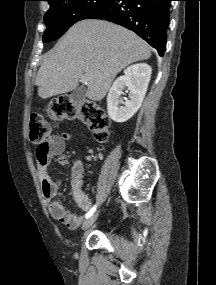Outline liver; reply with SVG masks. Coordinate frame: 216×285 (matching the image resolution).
<instances>
[{
  "mask_svg": "<svg viewBox=\"0 0 216 285\" xmlns=\"http://www.w3.org/2000/svg\"><path fill=\"white\" fill-rule=\"evenodd\" d=\"M150 57V47L132 31L106 21L83 20L48 53L35 85L39 97L47 99L75 90L85 77L87 97L100 101L123 68Z\"/></svg>",
  "mask_w": 216,
  "mask_h": 285,
  "instance_id": "obj_1",
  "label": "liver"
}]
</instances>
